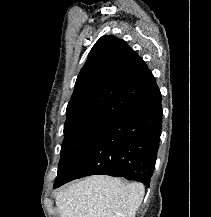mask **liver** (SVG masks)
I'll return each mask as SVG.
<instances>
[{
    "label": "liver",
    "instance_id": "6515ba94",
    "mask_svg": "<svg viewBox=\"0 0 211 217\" xmlns=\"http://www.w3.org/2000/svg\"><path fill=\"white\" fill-rule=\"evenodd\" d=\"M145 189L104 175L87 177L56 196L60 217H135Z\"/></svg>",
    "mask_w": 211,
    "mask_h": 217
}]
</instances>
